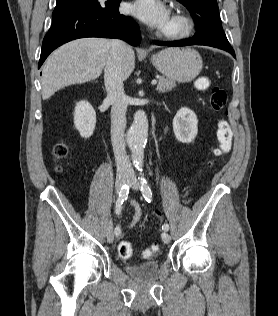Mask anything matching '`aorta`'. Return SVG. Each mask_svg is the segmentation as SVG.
I'll return each mask as SVG.
<instances>
[{"instance_id": "aorta-1", "label": "aorta", "mask_w": 278, "mask_h": 316, "mask_svg": "<svg viewBox=\"0 0 278 316\" xmlns=\"http://www.w3.org/2000/svg\"><path fill=\"white\" fill-rule=\"evenodd\" d=\"M148 137V119L143 110L134 114V122L127 132L126 140L132 152L135 167L140 168L144 159V148Z\"/></svg>"}]
</instances>
